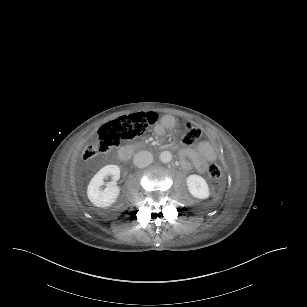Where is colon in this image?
<instances>
[{
    "label": "colon",
    "mask_w": 307,
    "mask_h": 307,
    "mask_svg": "<svg viewBox=\"0 0 307 307\" xmlns=\"http://www.w3.org/2000/svg\"><path fill=\"white\" fill-rule=\"evenodd\" d=\"M158 117L155 112H141L119 117L103 124L99 128L98 139L84 148L82 159L90 160L94 156L108 153L111 148L122 142L135 140L149 130ZM178 136L185 146H193L199 141L201 130L195 125L180 123ZM222 175L223 171L218 164L213 163L208 166L210 180H220Z\"/></svg>",
    "instance_id": "1"
}]
</instances>
